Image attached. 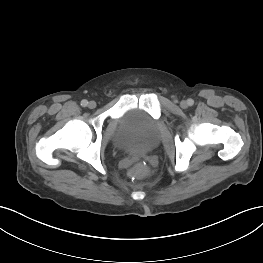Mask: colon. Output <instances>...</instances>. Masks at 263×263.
I'll use <instances>...</instances> for the list:
<instances>
[{
  "label": "colon",
  "instance_id": "5ec220e1",
  "mask_svg": "<svg viewBox=\"0 0 263 263\" xmlns=\"http://www.w3.org/2000/svg\"><path fill=\"white\" fill-rule=\"evenodd\" d=\"M130 173L134 177L143 178L148 175L149 169L143 163H138L131 168Z\"/></svg>",
  "mask_w": 263,
  "mask_h": 263
}]
</instances>
